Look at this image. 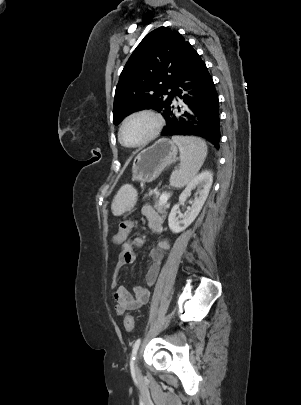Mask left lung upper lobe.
<instances>
[{
	"label": "left lung upper lobe",
	"mask_w": 301,
	"mask_h": 405,
	"mask_svg": "<svg viewBox=\"0 0 301 405\" xmlns=\"http://www.w3.org/2000/svg\"><path fill=\"white\" fill-rule=\"evenodd\" d=\"M194 52L179 32L168 27L147 34L119 77L113 123L118 125L130 113L143 109L156 110L165 117Z\"/></svg>",
	"instance_id": "left-lung-upper-lobe-1"
}]
</instances>
